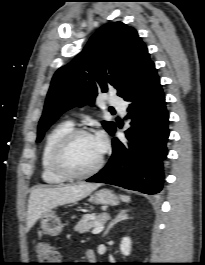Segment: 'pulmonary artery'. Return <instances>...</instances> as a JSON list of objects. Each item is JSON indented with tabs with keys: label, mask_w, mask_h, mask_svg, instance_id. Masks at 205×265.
I'll list each match as a JSON object with an SVG mask.
<instances>
[{
	"label": "pulmonary artery",
	"mask_w": 205,
	"mask_h": 265,
	"mask_svg": "<svg viewBox=\"0 0 205 265\" xmlns=\"http://www.w3.org/2000/svg\"><path fill=\"white\" fill-rule=\"evenodd\" d=\"M109 103L111 106L118 109L119 111H125V102L120 97L112 95L109 99Z\"/></svg>",
	"instance_id": "1"
}]
</instances>
